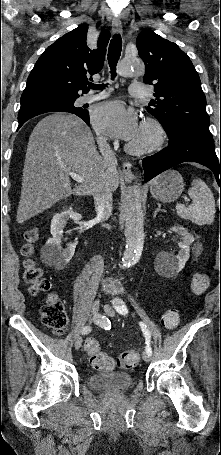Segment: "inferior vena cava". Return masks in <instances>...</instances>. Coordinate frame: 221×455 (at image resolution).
Here are the masks:
<instances>
[{
    "label": "inferior vena cava",
    "instance_id": "602c4592",
    "mask_svg": "<svg viewBox=\"0 0 221 455\" xmlns=\"http://www.w3.org/2000/svg\"><path fill=\"white\" fill-rule=\"evenodd\" d=\"M100 152L105 161V167L109 171H113L117 166V159L114 152L111 150L107 140L103 136L97 138ZM94 203L98 216L103 220H107L112 214V191L109 187L98 186L94 193Z\"/></svg>",
    "mask_w": 221,
    "mask_h": 455
}]
</instances>
